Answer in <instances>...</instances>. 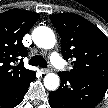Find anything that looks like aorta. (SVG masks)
Instances as JSON below:
<instances>
[{"mask_svg":"<svg viewBox=\"0 0 108 108\" xmlns=\"http://www.w3.org/2000/svg\"><path fill=\"white\" fill-rule=\"evenodd\" d=\"M34 43L43 49H52L56 44L54 32L46 26H38L32 32ZM60 85V78L55 73H48L44 77V86L50 91L56 90Z\"/></svg>","mask_w":108,"mask_h":108,"instance_id":"aorta-1","label":"aorta"}]
</instances>
